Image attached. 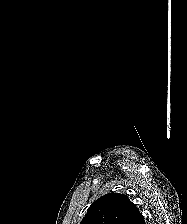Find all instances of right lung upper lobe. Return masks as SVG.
I'll use <instances>...</instances> for the list:
<instances>
[{
    "mask_svg": "<svg viewBox=\"0 0 187 224\" xmlns=\"http://www.w3.org/2000/svg\"><path fill=\"white\" fill-rule=\"evenodd\" d=\"M80 224H145L144 217L124 194L108 193L88 208Z\"/></svg>",
    "mask_w": 187,
    "mask_h": 224,
    "instance_id": "1",
    "label": "right lung upper lobe"
}]
</instances>
